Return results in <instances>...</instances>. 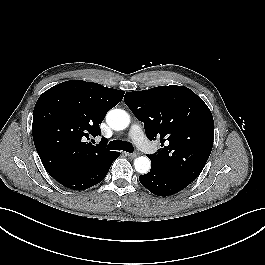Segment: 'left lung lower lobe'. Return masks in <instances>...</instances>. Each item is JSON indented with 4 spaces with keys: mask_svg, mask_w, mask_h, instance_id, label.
Instances as JSON below:
<instances>
[{
    "mask_svg": "<svg viewBox=\"0 0 265 265\" xmlns=\"http://www.w3.org/2000/svg\"><path fill=\"white\" fill-rule=\"evenodd\" d=\"M139 180L145 188L157 196L175 194L192 182L155 164H152L150 172L139 176Z\"/></svg>",
    "mask_w": 265,
    "mask_h": 265,
    "instance_id": "0a47b994",
    "label": "left lung lower lobe"
}]
</instances>
